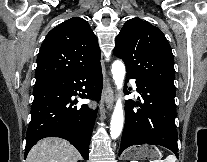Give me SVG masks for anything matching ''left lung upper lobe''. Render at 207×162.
<instances>
[{"label":"left lung upper lobe","instance_id":"1","mask_svg":"<svg viewBox=\"0 0 207 162\" xmlns=\"http://www.w3.org/2000/svg\"><path fill=\"white\" fill-rule=\"evenodd\" d=\"M114 54L127 73L145 83L174 86V58L164 34L139 18L128 20L116 38Z\"/></svg>","mask_w":207,"mask_h":162}]
</instances>
